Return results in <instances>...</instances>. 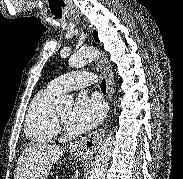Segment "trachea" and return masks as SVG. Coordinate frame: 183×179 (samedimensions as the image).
Returning <instances> with one entry per match:
<instances>
[{"label": "trachea", "mask_w": 183, "mask_h": 179, "mask_svg": "<svg viewBox=\"0 0 183 179\" xmlns=\"http://www.w3.org/2000/svg\"><path fill=\"white\" fill-rule=\"evenodd\" d=\"M54 14L56 15V18H62V13L61 12H54ZM100 87H101L102 91H106V82H105V80H103L101 82Z\"/></svg>", "instance_id": "1"}]
</instances>
